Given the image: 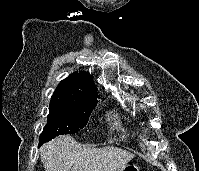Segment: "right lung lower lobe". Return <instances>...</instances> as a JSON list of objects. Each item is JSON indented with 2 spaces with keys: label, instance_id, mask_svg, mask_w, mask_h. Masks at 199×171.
<instances>
[{
  "label": "right lung lower lobe",
  "instance_id": "obj_1",
  "mask_svg": "<svg viewBox=\"0 0 199 171\" xmlns=\"http://www.w3.org/2000/svg\"><path fill=\"white\" fill-rule=\"evenodd\" d=\"M40 145H42V143H41V142H39V146H40Z\"/></svg>",
  "mask_w": 199,
  "mask_h": 171
}]
</instances>
